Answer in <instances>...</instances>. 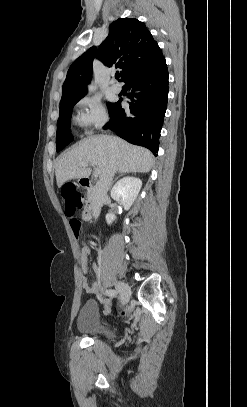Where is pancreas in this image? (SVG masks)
Segmentation results:
<instances>
[{"mask_svg":"<svg viewBox=\"0 0 247 407\" xmlns=\"http://www.w3.org/2000/svg\"><path fill=\"white\" fill-rule=\"evenodd\" d=\"M93 199V192L92 191H88L87 193V200L88 202H90Z\"/></svg>","mask_w":247,"mask_h":407,"instance_id":"cf45deb5","label":"pancreas"}]
</instances>
